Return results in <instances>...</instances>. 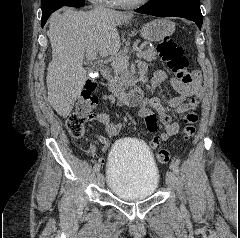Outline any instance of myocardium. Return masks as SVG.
<instances>
[{
  "label": "myocardium",
  "instance_id": "obj_1",
  "mask_svg": "<svg viewBox=\"0 0 240 238\" xmlns=\"http://www.w3.org/2000/svg\"><path fill=\"white\" fill-rule=\"evenodd\" d=\"M150 0H136V1H123V0H115V3L121 7H138L148 3Z\"/></svg>",
  "mask_w": 240,
  "mask_h": 238
}]
</instances>
